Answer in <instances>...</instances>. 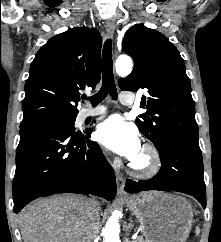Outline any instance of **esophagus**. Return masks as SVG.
<instances>
[{"mask_svg":"<svg viewBox=\"0 0 221 242\" xmlns=\"http://www.w3.org/2000/svg\"><path fill=\"white\" fill-rule=\"evenodd\" d=\"M106 32L110 37H112L114 35L115 23L113 20H108L106 22ZM116 181H117L118 195L121 197H124L125 196V191H124L125 180H124L123 175L119 171L116 172Z\"/></svg>","mask_w":221,"mask_h":242,"instance_id":"1","label":"esophagus"}]
</instances>
